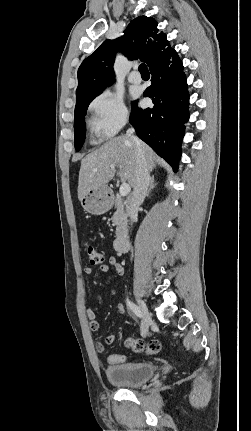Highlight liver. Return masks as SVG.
<instances>
[{
    "label": "liver",
    "instance_id": "1",
    "mask_svg": "<svg viewBox=\"0 0 251 431\" xmlns=\"http://www.w3.org/2000/svg\"><path fill=\"white\" fill-rule=\"evenodd\" d=\"M141 146L145 155L148 171L155 167L157 156L144 142ZM136 145L127 135L110 139L95 151L86 155L81 161L78 183V199H81L92 189L105 187L114 177L115 168H119V177L128 181L131 187L135 184ZM114 168H111V166ZM97 169V172L93 170Z\"/></svg>",
    "mask_w": 251,
    "mask_h": 431
}]
</instances>
